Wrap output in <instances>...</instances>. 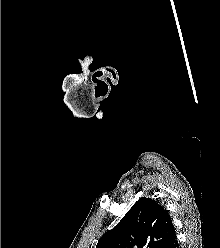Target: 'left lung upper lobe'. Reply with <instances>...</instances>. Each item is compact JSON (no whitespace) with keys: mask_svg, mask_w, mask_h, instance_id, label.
I'll return each mask as SVG.
<instances>
[{"mask_svg":"<svg viewBox=\"0 0 220 248\" xmlns=\"http://www.w3.org/2000/svg\"><path fill=\"white\" fill-rule=\"evenodd\" d=\"M173 231L168 210L151 198H140L96 248H163Z\"/></svg>","mask_w":220,"mask_h":248,"instance_id":"obj_1","label":"left lung upper lobe"}]
</instances>
